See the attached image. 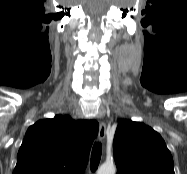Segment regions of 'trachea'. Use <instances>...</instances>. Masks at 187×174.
<instances>
[{
    "mask_svg": "<svg viewBox=\"0 0 187 174\" xmlns=\"http://www.w3.org/2000/svg\"><path fill=\"white\" fill-rule=\"evenodd\" d=\"M102 154V145L100 142H96L92 148L91 160H90V169L92 172L96 171L98 168Z\"/></svg>",
    "mask_w": 187,
    "mask_h": 174,
    "instance_id": "obj_1",
    "label": "trachea"
}]
</instances>
